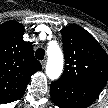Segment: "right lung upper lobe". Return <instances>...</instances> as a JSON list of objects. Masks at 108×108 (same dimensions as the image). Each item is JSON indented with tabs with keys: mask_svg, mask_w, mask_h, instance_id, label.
<instances>
[{
	"mask_svg": "<svg viewBox=\"0 0 108 108\" xmlns=\"http://www.w3.org/2000/svg\"><path fill=\"white\" fill-rule=\"evenodd\" d=\"M23 34L24 27L16 21L0 25V103L21 98L31 75L42 69Z\"/></svg>",
	"mask_w": 108,
	"mask_h": 108,
	"instance_id": "cb5924a9",
	"label": "right lung upper lobe"
}]
</instances>
